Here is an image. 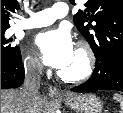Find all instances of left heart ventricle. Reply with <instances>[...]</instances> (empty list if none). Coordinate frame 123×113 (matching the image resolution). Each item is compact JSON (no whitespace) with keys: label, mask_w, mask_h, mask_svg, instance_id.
<instances>
[{"label":"left heart ventricle","mask_w":123,"mask_h":113,"mask_svg":"<svg viewBox=\"0 0 123 113\" xmlns=\"http://www.w3.org/2000/svg\"><path fill=\"white\" fill-rule=\"evenodd\" d=\"M83 66V61L80 55H78L76 52L74 54V57L72 61L63 69H61L64 73L67 74H73L81 70Z\"/></svg>","instance_id":"b2bd125f"}]
</instances>
